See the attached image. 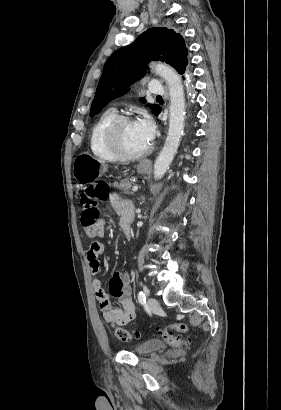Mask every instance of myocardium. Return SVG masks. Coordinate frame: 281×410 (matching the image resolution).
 <instances>
[{
  "label": "myocardium",
  "mask_w": 281,
  "mask_h": 410,
  "mask_svg": "<svg viewBox=\"0 0 281 410\" xmlns=\"http://www.w3.org/2000/svg\"><path fill=\"white\" fill-rule=\"evenodd\" d=\"M132 119L127 115H118L109 125L106 131V142L109 148L121 159H139L148 155L152 146L149 145L146 149L139 152L128 151L121 143L119 138L120 126L125 122H130Z\"/></svg>",
  "instance_id": "myocardium-1"
}]
</instances>
